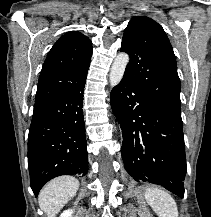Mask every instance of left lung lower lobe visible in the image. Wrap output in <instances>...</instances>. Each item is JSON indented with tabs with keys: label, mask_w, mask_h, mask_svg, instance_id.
Masks as SVG:
<instances>
[{
	"label": "left lung lower lobe",
	"mask_w": 211,
	"mask_h": 217,
	"mask_svg": "<svg viewBox=\"0 0 211 217\" xmlns=\"http://www.w3.org/2000/svg\"><path fill=\"white\" fill-rule=\"evenodd\" d=\"M110 100L123 134L126 171L136 181L158 184L183 198L187 167L181 117L159 107L124 77Z\"/></svg>",
	"instance_id": "0a47b994"
}]
</instances>
